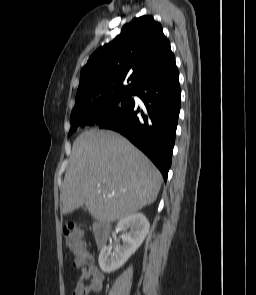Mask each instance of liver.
I'll use <instances>...</instances> for the list:
<instances>
[{
  "label": "liver",
  "mask_w": 256,
  "mask_h": 295,
  "mask_svg": "<svg viewBox=\"0 0 256 295\" xmlns=\"http://www.w3.org/2000/svg\"><path fill=\"white\" fill-rule=\"evenodd\" d=\"M162 175L120 134L90 129L74 141L62 186V214L85 205L96 220L114 222L152 204Z\"/></svg>",
  "instance_id": "1"
}]
</instances>
